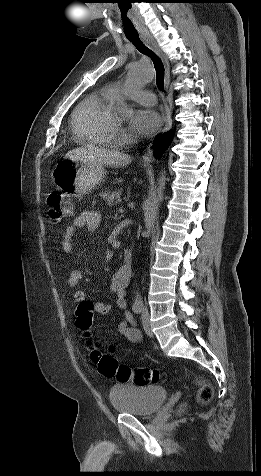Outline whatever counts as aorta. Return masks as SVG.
Here are the masks:
<instances>
[{
	"label": "aorta",
	"instance_id": "762f6f07",
	"mask_svg": "<svg viewBox=\"0 0 261 476\" xmlns=\"http://www.w3.org/2000/svg\"><path fill=\"white\" fill-rule=\"evenodd\" d=\"M153 78V72L148 67L142 66H133L130 68L128 73V83L131 86L143 84L149 82ZM116 113L121 118H126L132 114V109L127 105L123 100H119L115 106ZM167 177L166 172H160L158 178V184L155 192V197L152 201V207L150 214L153 216L158 210L160 203L164 199V190L166 185ZM135 305L142 304L141 295L137 292L134 300Z\"/></svg>",
	"mask_w": 261,
	"mask_h": 476
}]
</instances>
